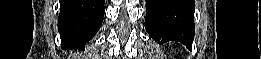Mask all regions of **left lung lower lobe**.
Here are the masks:
<instances>
[{
    "label": "left lung lower lobe",
    "instance_id": "1",
    "mask_svg": "<svg viewBox=\"0 0 261 59\" xmlns=\"http://www.w3.org/2000/svg\"><path fill=\"white\" fill-rule=\"evenodd\" d=\"M194 0H146L145 28L157 43L179 41L191 48Z\"/></svg>",
    "mask_w": 261,
    "mask_h": 59
}]
</instances>
